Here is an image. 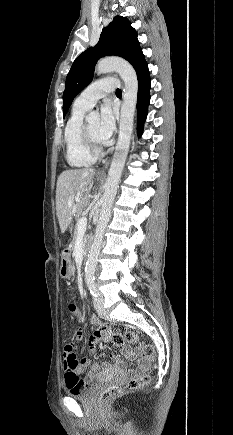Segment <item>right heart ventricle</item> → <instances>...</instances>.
<instances>
[{
  "mask_svg": "<svg viewBox=\"0 0 233 435\" xmlns=\"http://www.w3.org/2000/svg\"><path fill=\"white\" fill-rule=\"evenodd\" d=\"M86 111L87 109L74 105L64 129L65 158L67 163L74 168L89 167L96 161V158L87 150L82 137V125Z\"/></svg>",
  "mask_w": 233,
  "mask_h": 435,
  "instance_id": "obj_1",
  "label": "right heart ventricle"
}]
</instances>
